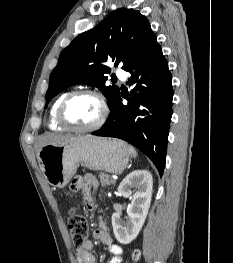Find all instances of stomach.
<instances>
[{
    "mask_svg": "<svg viewBox=\"0 0 233 263\" xmlns=\"http://www.w3.org/2000/svg\"><path fill=\"white\" fill-rule=\"evenodd\" d=\"M37 160L46 181L64 188L80 164L90 170L120 174L127 167L130 154L121 140L79 135L41 147Z\"/></svg>",
    "mask_w": 233,
    "mask_h": 263,
    "instance_id": "obj_1",
    "label": "stomach"
}]
</instances>
